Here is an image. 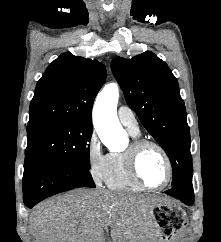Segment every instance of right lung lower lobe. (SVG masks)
<instances>
[{
  "label": "right lung lower lobe",
  "instance_id": "right-lung-lower-lobe-1",
  "mask_svg": "<svg viewBox=\"0 0 221 242\" xmlns=\"http://www.w3.org/2000/svg\"><path fill=\"white\" fill-rule=\"evenodd\" d=\"M22 182L23 201L28 208L60 192L95 187L89 170L46 158L25 161Z\"/></svg>",
  "mask_w": 221,
  "mask_h": 242
}]
</instances>
